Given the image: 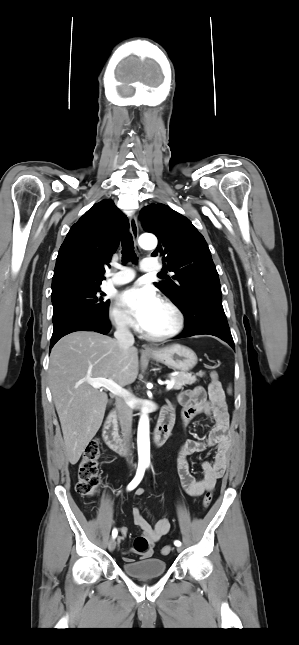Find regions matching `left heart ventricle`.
<instances>
[{
	"mask_svg": "<svg viewBox=\"0 0 299 645\" xmlns=\"http://www.w3.org/2000/svg\"><path fill=\"white\" fill-rule=\"evenodd\" d=\"M174 319L171 312L161 303L148 325L144 328L150 333H163L170 330L173 326Z\"/></svg>",
	"mask_w": 299,
	"mask_h": 645,
	"instance_id": "left-heart-ventricle-1",
	"label": "left heart ventricle"
}]
</instances>
